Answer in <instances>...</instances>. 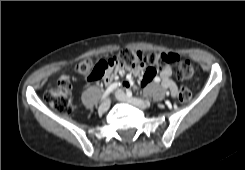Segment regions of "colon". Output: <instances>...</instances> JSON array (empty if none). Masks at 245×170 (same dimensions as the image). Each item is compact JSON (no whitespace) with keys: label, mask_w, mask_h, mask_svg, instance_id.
I'll use <instances>...</instances> for the list:
<instances>
[{"label":"colon","mask_w":245,"mask_h":170,"mask_svg":"<svg viewBox=\"0 0 245 170\" xmlns=\"http://www.w3.org/2000/svg\"><path fill=\"white\" fill-rule=\"evenodd\" d=\"M163 65H179L177 74L182 80H190L194 77V66L189 62L179 64L178 56L175 53H155L128 49L122 50L116 55L99 60L98 62H94L92 59H83L76 64V71L87 80L93 81L100 79L113 67L136 70L145 66L158 68ZM191 96L192 94L188 88L182 87L179 90L178 98L181 102H189ZM44 98L56 112L64 115L69 114L73 109L70 78L64 76L53 83L46 90Z\"/></svg>","instance_id":"1"}]
</instances>
